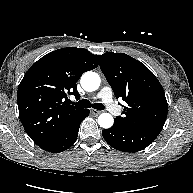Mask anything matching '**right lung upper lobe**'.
I'll return each mask as SVG.
<instances>
[{"mask_svg":"<svg viewBox=\"0 0 193 193\" xmlns=\"http://www.w3.org/2000/svg\"><path fill=\"white\" fill-rule=\"evenodd\" d=\"M98 66L82 48H62L35 62L18 87L19 118L31 139L42 147L57 137L84 109L69 105L67 93L78 96L76 82Z\"/></svg>","mask_w":193,"mask_h":193,"instance_id":"cb5924a9","label":"right lung upper lobe"}]
</instances>
